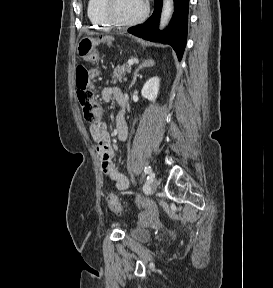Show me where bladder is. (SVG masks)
Returning <instances> with one entry per match:
<instances>
[{"label": "bladder", "mask_w": 273, "mask_h": 288, "mask_svg": "<svg viewBox=\"0 0 273 288\" xmlns=\"http://www.w3.org/2000/svg\"><path fill=\"white\" fill-rule=\"evenodd\" d=\"M130 237L139 242H148L151 239V234L147 229L135 228L131 231Z\"/></svg>", "instance_id": "31cf9c89"}]
</instances>
